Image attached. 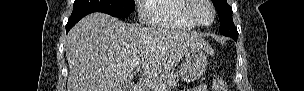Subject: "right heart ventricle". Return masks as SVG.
I'll return each instance as SVG.
<instances>
[{"instance_id":"1","label":"right heart ventricle","mask_w":304,"mask_h":91,"mask_svg":"<svg viewBox=\"0 0 304 91\" xmlns=\"http://www.w3.org/2000/svg\"><path fill=\"white\" fill-rule=\"evenodd\" d=\"M187 0H151L148 1L147 12L153 26L176 29L192 30L196 26L188 19L186 9Z\"/></svg>"}]
</instances>
